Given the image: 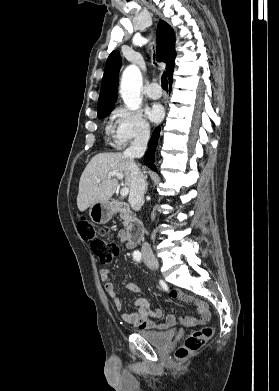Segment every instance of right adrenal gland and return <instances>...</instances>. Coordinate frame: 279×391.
Listing matches in <instances>:
<instances>
[{
	"mask_svg": "<svg viewBox=\"0 0 279 391\" xmlns=\"http://www.w3.org/2000/svg\"><path fill=\"white\" fill-rule=\"evenodd\" d=\"M148 182L146 183V189H145V192H147L148 191Z\"/></svg>",
	"mask_w": 279,
	"mask_h": 391,
	"instance_id": "right-adrenal-gland-1",
	"label": "right adrenal gland"
}]
</instances>
